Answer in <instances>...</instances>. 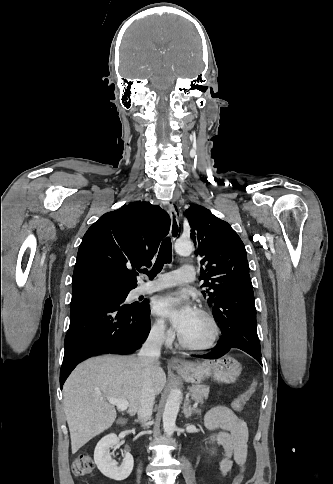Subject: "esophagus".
Returning a JSON list of instances; mask_svg holds the SVG:
<instances>
[{
	"label": "esophagus",
	"instance_id": "34e87169",
	"mask_svg": "<svg viewBox=\"0 0 333 484\" xmlns=\"http://www.w3.org/2000/svg\"><path fill=\"white\" fill-rule=\"evenodd\" d=\"M168 213L170 215L171 219V226H170V236L172 240H176L180 234V217H181V211L179 208H175L173 204L168 205ZM170 364L174 367H182L186 363L185 361L177 358V357H172L170 359Z\"/></svg>",
	"mask_w": 333,
	"mask_h": 484
}]
</instances>
